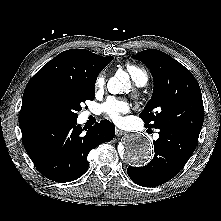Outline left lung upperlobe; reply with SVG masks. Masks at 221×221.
Instances as JSON below:
<instances>
[{
  "label": "left lung upper lobe",
  "instance_id": "left-lung-upper-lobe-1",
  "mask_svg": "<svg viewBox=\"0 0 221 221\" xmlns=\"http://www.w3.org/2000/svg\"><path fill=\"white\" fill-rule=\"evenodd\" d=\"M154 80L153 95L140 113L147 128L174 127L199 136L204 122V107L200 86L178 61L168 54L148 49L137 53Z\"/></svg>",
  "mask_w": 221,
  "mask_h": 221
}]
</instances>
